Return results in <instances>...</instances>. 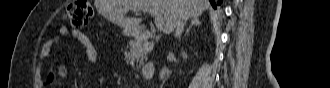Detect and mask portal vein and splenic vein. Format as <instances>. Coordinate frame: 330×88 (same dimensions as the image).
I'll return each mask as SVG.
<instances>
[{
  "label": "portal vein and splenic vein",
  "instance_id": "obj_1",
  "mask_svg": "<svg viewBox=\"0 0 330 88\" xmlns=\"http://www.w3.org/2000/svg\"><path fill=\"white\" fill-rule=\"evenodd\" d=\"M134 11H139L140 9H133ZM152 16L155 17V26L157 29H162L163 26V17L162 15L158 12L157 9H149L148 10Z\"/></svg>",
  "mask_w": 330,
  "mask_h": 88
}]
</instances>
